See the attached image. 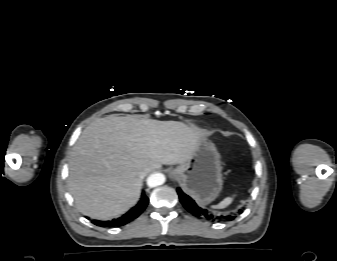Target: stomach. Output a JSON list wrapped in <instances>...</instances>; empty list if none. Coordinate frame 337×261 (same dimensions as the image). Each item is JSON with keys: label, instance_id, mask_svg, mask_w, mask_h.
I'll return each instance as SVG.
<instances>
[{"label": "stomach", "instance_id": "0dacf381", "mask_svg": "<svg viewBox=\"0 0 337 261\" xmlns=\"http://www.w3.org/2000/svg\"><path fill=\"white\" fill-rule=\"evenodd\" d=\"M183 190L200 203H210L221 192V158L214 143L204 133L191 158L171 171Z\"/></svg>", "mask_w": 337, "mask_h": 261}]
</instances>
